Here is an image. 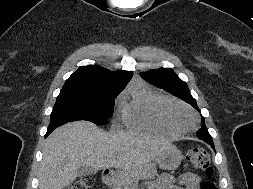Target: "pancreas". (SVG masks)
Returning a JSON list of instances; mask_svg holds the SVG:
<instances>
[{
	"label": "pancreas",
	"instance_id": "cf45deb5",
	"mask_svg": "<svg viewBox=\"0 0 253 189\" xmlns=\"http://www.w3.org/2000/svg\"><path fill=\"white\" fill-rule=\"evenodd\" d=\"M155 176H157V170L153 164L147 165L141 169L119 170L112 178L111 189H130L137 179H152Z\"/></svg>",
	"mask_w": 253,
	"mask_h": 189
}]
</instances>
